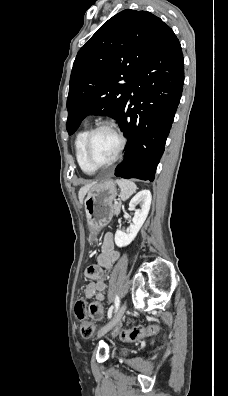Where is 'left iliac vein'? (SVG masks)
Segmentation results:
<instances>
[{
  "instance_id": "obj_1",
  "label": "left iliac vein",
  "mask_w": 228,
  "mask_h": 396,
  "mask_svg": "<svg viewBox=\"0 0 228 396\" xmlns=\"http://www.w3.org/2000/svg\"><path fill=\"white\" fill-rule=\"evenodd\" d=\"M126 309H127V304L124 302L120 306L119 310L117 311V313L115 314L113 319L108 324H106L104 327H102L98 331L97 338L102 337L103 335L108 333L110 330H112L120 322V320H121L122 316L124 315Z\"/></svg>"
}]
</instances>
